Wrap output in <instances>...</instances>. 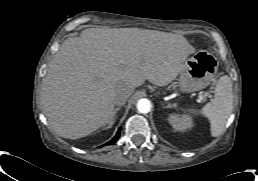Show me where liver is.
<instances>
[{
    "label": "liver",
    "mask_w": 258,
    "mask_h": 181,
    "mask_svg": "<svg viewBox=\"0 0 258 181\" xmlns=\"http://www.w3.org/2000/svg\"><path fill=\"white\" fill-rule=\"evenodd\" d=\"M195 48L181 35L138 28H89L66 39L43 79L41 104L63 138L85 137L110 122L118 96L145 80H174Z\"/></svg>",
    "instance_id": "liver-1"
}]
</instances>
